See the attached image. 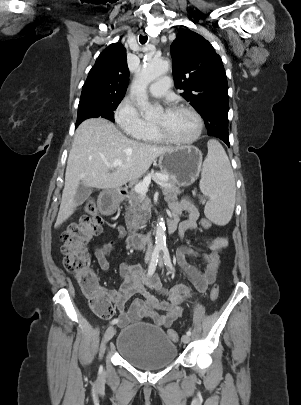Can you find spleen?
I'll list each match as a JSON object with an SVG mask.
<instances>
[{
  "label": "spleen",
  "mask_w": 301,
  "mask_h": 405,
  "mask_svg": "<svg viewBox=\"0 0 301 405\" xmlns=\"http://www.w3.org/2000/svg\"><path fill=\"white\" fill-rule=\"evenodd\" d=\"M200 188L209 197L206 216L218 225H226L235 206V179L228 156L216 140L208 141V154L203 164Z\"/></svg>",
  "instance_id": "obj_1"
}]
</instances>
